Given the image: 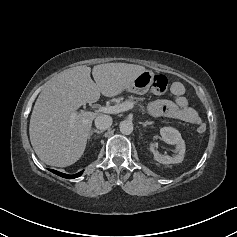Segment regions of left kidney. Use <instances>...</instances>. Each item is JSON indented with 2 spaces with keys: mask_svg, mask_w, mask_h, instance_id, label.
Listing matches in <instances>:
<instances>
[{
  "mask_svg": "<svg viewBox=\"0 0 237 237\" xmlns=\"http://www.w3.org/2000/svg\"><path fill=\"white\" fill-rule=\"evenodd\" d=\"M162 140L168 144L176 145L178 154L176 156L162 155L154 148V143H150V151L154 155V159L162 164L181 163L185 154V142L178 130L172 127H163L160 129Z\"/></svg>",
  "mask_w": 237,
  "mask_h": 237,
  "instance_id": "left-kidney-1",
  "label": "left kidney"
}]
</instances>
